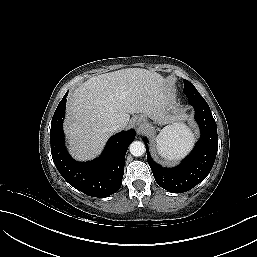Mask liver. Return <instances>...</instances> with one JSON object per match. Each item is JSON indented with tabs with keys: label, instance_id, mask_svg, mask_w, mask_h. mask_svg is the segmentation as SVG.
I'll list each match as a JSON object with an SVG mask.
<instances>
[{
	"label": "liver",
	"instance_id": "liver-1",
	"mask_svg": "<svg viewBox=\"0 0 257 257\" xmlns=\"http://www.w3.org/2000/svg\"><path fill=\"white\" fill-rule=\"evenodd\" d=\"M172 100L165 79L146 69H121L88 79L67 98L64 130L71 154L79 160L95 157L111 135L112 124L122 130L135 113L164 118Z\"/></svg>",
	"mask_w": 257,
	"mask_h": 257
}]
</instances>
